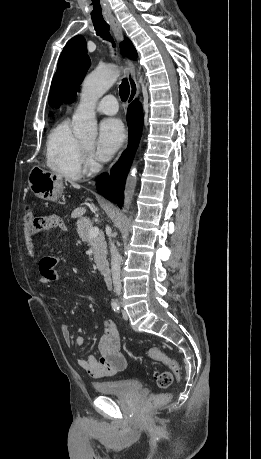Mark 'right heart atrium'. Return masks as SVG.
Wrapping results in <instances>:
<instances>
[{"label":"right heart atrium","mask_w":261,"mask_h":459,"mask_svg":"<svg viewBox=\"0 0 261 459\" xmlns=\"http://www.w3.org/2000/svg\"><path fill=\"white\" fill-rule=\"evenodd\" d=\"M93 159H92V156L88 153L84 154L83 155V158H82V165L84 167V169L86 170H89L93 167Z\"/></svg>","instance_id":"d8ad5b80"}]
</instances>
